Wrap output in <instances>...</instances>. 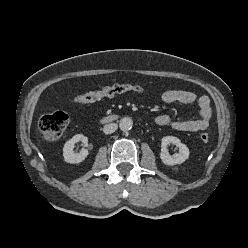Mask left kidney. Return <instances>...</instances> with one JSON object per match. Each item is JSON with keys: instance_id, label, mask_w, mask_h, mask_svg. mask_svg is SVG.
Here are the masks:
<instances>
[{"instance_id": "obj_1", "label": "left kidney", "mask_w": 248, "mask_h": 248, "mask_svg": "<svg viewBox=\"0 0 248 248\" xmlns=\"http://www.w3.org/2000/svg\"><path fill=\"white\" fill-rule=\"evenodd\" d=\"M174 144L179 148V153L170 155L167 149L168 144ZM189 157L188 147L174 136H165L161 141L160 158L165 165L173 166L185 162Z\"/></svg>"}]
</instances>
